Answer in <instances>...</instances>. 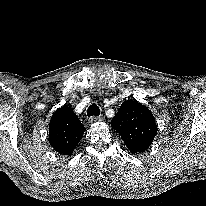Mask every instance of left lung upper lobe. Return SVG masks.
Masks as SVG:
<instances>
[{
    "instance_id": "left-lung-upper-lobe-1",
    "label": "left lung upper lobe",
    "mask_w": 206,
    "mask_h": 206,
    "mask_svg": "<svg viewBox=\"0 0 206 206\" xmlns=\"http://www.w3.org/2000/svg\"><path fill=\"white\" fill-rule=\"evenodd\" d=\"M131 153L144 152L153 142L157 125L148 108L135 100L124 101L111 121Z\"/></svg>"
}]
</instances>
